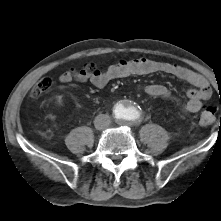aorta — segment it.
Listing matches in <instances>:
<instances>
[{"mask_svg": "<svg viewBox=\"0 0 221 221\" xmlns=\"http://www.w3.org/2000/svg\"><path fill=\"white\" fill-rule=\"evenodd\" d=\"M139 108L130 101H122L115 106L114 117L119 122H128L139 116Z\"/></svg>", "mask_w": 221, "mask_h": 221, "instance_id": "obj_1", "label": "aorta"}]
</instances>
